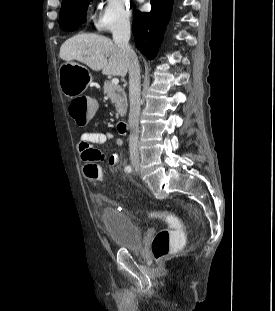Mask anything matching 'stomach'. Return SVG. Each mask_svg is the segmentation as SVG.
Wrapping results in <instances>:
<instances>
[{
	"label": "stomach",
	"mask_w": 275,
	"mask_h": 311,
	"mask_svg": "<svg viewBox=\"0 0 275 311\" xmlns=\"http://www.w3.org/2000/svg\"><path fill=\"white\" fill-rule=\"evenodd\" d=\"M91 82L92 75L78 63L65 62L59 68V86L67 97L81 95Z\"/></svg>",
	"instance_id": "obj_1"
}]
</instances>
